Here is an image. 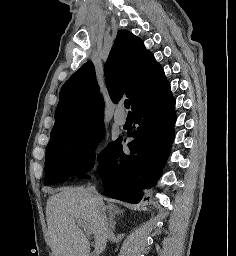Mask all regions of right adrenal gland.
Here are the masks:
<instances>
[{
	"mask_svg": "<svg viewBox=\"0 0 236 256\" xmlns=\"http://www.w3.org/2000/svg\"><path fill=\"white\" fill-rule=\"evenodd\" d=\"M115 210H110L111 214L109 216V220H110V226H109V230L110 232H115V224L116 222H114V218L115 216H118V214H122V212H124V210H118L117 206H114Z\"/></svg>",
	"mask_w": 236,
	"mask_h": 256,
	"instance_id": "1",
	"label": "right adrenal gland"
}]
</instances>
